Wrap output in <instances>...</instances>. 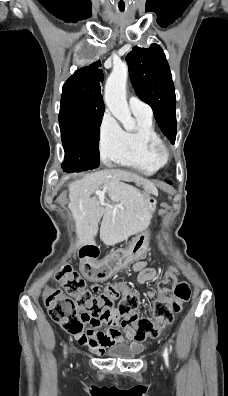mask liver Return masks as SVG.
I'll list each match as a JSON object with an SVG mask.
<instances>
[{
	"mask_svg": "<svg viewBox=\"0 0 228 396\" xmlns=\"http://www.w3.org/2000/svg\"><path fill=\"white\" fill-rule=\"evenodd\" d=\"M158 194L156 186L149 180L120 169H106L85 175L69 185L68 207L75 221L79 242L94 244L101 224L102 238L109 242L123 239V226L129 222L128 235L144 231L151 220L145 205L144 195L135 187ZM100 188H106L107 198L91 197Z\"/></svg>",
	"mask_w": 228,
	"mask_h": 396,
	"instance_id": "1",
	"label": "liver"
}]
</instances>
